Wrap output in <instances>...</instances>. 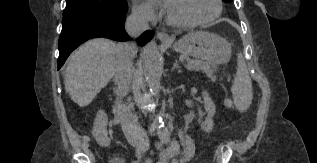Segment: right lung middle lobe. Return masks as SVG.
<instances>
[{"mask_svg":"<svg viewBox=\"0 0 317 163\" xmlns=\"http://www.w3.org/2000/svg\"><path fill=\"white\" fill-rule=\"evenodd\" d=\"M127 8L126 0H66L62 26L98 13L126 12Z\"/></svg>","mask_w":317,"mask_h":163,"instance_id":"right-lung-middle-lobe-1","label":"right lung middle lobe"}]
</instances>
